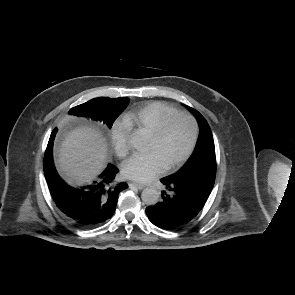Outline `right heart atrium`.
Segmentation results:
<instances>
[{
    "label": "right heart atrium",
    "instance_id": "d8ad5b80",
    "mask_svg": "<svg viewBox=\"0 0 295 295\" xmlns=\"http://www.w3.org/2000/svg\"><path fill=\"white\" fill-rule=\"evenodd\" d=\"M129 128L123 122H115L111 128V142L117 156L123 158L129 152Z\"/></svg>",
    "mask_w": 295,
    "mask_h": 295
}]
</instances>
